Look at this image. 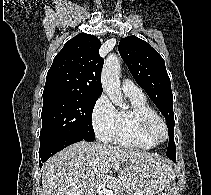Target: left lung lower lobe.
Instances as JSON below:
<instances>
[{
  "label": "left lung lower lobe",
  "mask_w": 211,
  "mask_h": 195,
  "mask_svg": "<svg viewBox=\"0 0 211 195\" xmlns=\"http://www.w3.org/2000/svg\"><path fill=\"white\" fill-rule=\"evenodd\" d=\"M172 161H175L176 160V157H174L173 159H171Z\"/></svg>",
  "instance_id": "0a47b994"
}]
</instances>
